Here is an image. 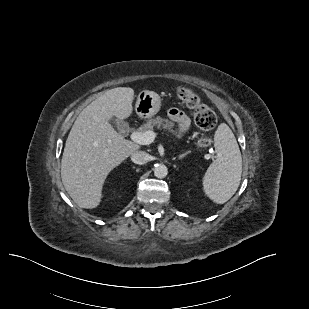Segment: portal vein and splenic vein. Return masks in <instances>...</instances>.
I'll use <instances>...</instances> for the list:
<instances>
[{"instance_id": "portal-vein-and-splenic-vein-1", "label": "portal vein and splenic vein", "mask_w": 309, "mask_h": 309, "mask_svg": "<svg viewBox=\"0 0 309 309\" xmlns=\"http://www.w3.org/2000/svg\"><path fill=\"white\" fill-rule=\"evenodd\" d=\"M156 137V133L154 131H146V132H132L131 139L141 145H149L151 144Z\"/></svg>"}]
</instances>
